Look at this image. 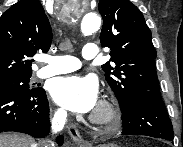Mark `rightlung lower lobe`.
I'll use <instances>...</instances> for the list:
<instances>
[{"label":"right lung lower lobe","mask_w":183,"mask_h":147,"mask_svg":"<svg viewBox=\"0 0 183 147\" xmlns=\"http://www.w3.org/2000/svg\"><path fill=\"white\" fill-rule=\"evenodd\" d=\"M49 129V104L43 88L0 90V132L42 138ZM57 142L62 144L63 138L58 137Z\"/></svg>","instance_id":"obj_1"}]
</instances>
